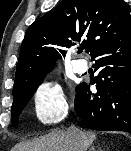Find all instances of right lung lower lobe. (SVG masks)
<instances>
[{"mask_svg":"<svg viewBox=\"0 0 131 151\" xmlns=\"http://www.w3.org/2000/svg\"><path fill=\"white\" fill-rule=\"evenodd\" d=\"M98 76L96 93L86 83L76 88L75 110L84 125L100 131L131 134V32L91 54Z\"/></svg>","mask_w":131,"mask_h":151,"instance_id":"98d812e1","label":"right lung lower lobe"}]
</instances>
